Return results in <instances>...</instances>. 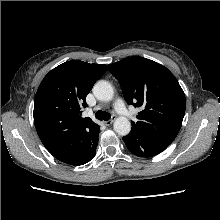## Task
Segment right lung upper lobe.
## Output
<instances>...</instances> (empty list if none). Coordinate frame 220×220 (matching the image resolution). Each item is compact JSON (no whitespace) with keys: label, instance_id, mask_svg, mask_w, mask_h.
<instances>
[{"label":"right lung upper lobe","instance_id":"right-lung-upper-lobe-1","mask_svg":"<svg viewBox=\"0 0 220 220\" xmlns=\"http://www.w3.org/2000/svg\"><path fill=\"white\" fill-rule=\"evenodd\" d=\"M105 71L106 65L72 60L42 80L34 101V124L56 159L69 163L98 139L99 125L81 117V106H87V94Z\"/></svg>","mask_w":220,"mask_h":220}]
</instances>
